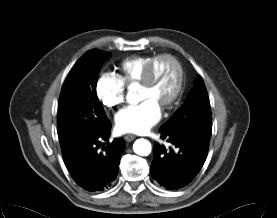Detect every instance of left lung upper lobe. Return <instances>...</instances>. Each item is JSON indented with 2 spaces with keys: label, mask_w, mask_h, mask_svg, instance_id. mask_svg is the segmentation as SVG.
<instances>
[{
  "label": "left lung upper lobe",
  "mask_w": 277,
  "mask_h": 218,
  "mask_svg": "<svg viewBox=\"0 0 277 218\" xmlns=\"http://www.w3.org/2000/svg\"><path fill=\"white\" fill-rule=\"evenodd\" d=\"M212 127L211 107L204 85L199 76L194 89L188 95L184 105L162 127Z\"/></svg>",
  "instance_id": "5c2ea615"
}]
</instances>
